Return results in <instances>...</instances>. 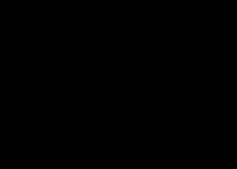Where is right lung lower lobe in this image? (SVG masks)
Masks as SVG:
<instances>
[{
	"label": "right lung lower lobe",
	"instance_id": "right-lung-lower-lobe-1",
	"mask_svg": "<svg viewBox=\"0 0 237 169\" xmlns=\"http://www.w3.org/2000/svg\"><path fill=\"white\" fill-rule=\"evenodd\" d=\"M114 106L113 97L94 91L80 108L55 128L71 144H90L102 134Z\"/></svg>",
	"mask_w": 237,
	"mask_h": 169
}]
</instances>
